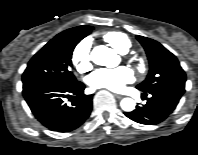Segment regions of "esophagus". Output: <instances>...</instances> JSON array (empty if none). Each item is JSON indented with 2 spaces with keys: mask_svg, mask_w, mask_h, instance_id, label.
<instances>
[{
  "mask_svg": "<svg viewBox=\"0 0 198 155\" xmlns=\"http://www.w3.org/2000/svg\"><path fill=\"white\" fill-rule=\"evenodd\" d=\"M115 97H116L117 99H122L124 96H123V95H119V94H115Z\"/></svg>",
  "mask_w": 198,
  "mask_h": 155,
  "instance_id": "34e87169",
  "label": "esophagus"
}]
</instances>
